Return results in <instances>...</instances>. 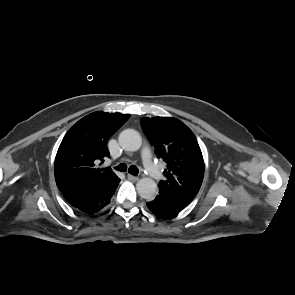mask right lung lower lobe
Listing matches in <instances>:
<instances>
[{
    "mask_svg": "<svg viewBox=\"0 0 295 295\" xmlns=\"http://www.w3.org/2000/svg\"><path fill=\"white\" fill-rule=\"evenodd\" d=\"M119 182L120 179L115 176L96 189L85 193L66 195L64 198L77 210L91 215L99 212L110 203Z\"/></svg>",
    "mask_w": 295,
    "mask_h": 295,
    "instance_id": "obj_1",
    "label": "right lung lower lobe"
}]
</instances>
